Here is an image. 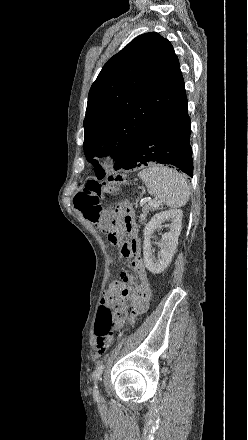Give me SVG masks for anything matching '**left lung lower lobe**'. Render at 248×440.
I'll return each instance as SVG.
<instances>
[{"mask_svg":"<svg viewBox=\"0 0 248 440\" xmlns=\"http://www.w3.org/2000/svg\"><path fill=\"white\" fill-rule=\"evenodd\" d=\"M191 121L186 93L134 142L123 163L117 168L134 169L148 162L169 164L193 176L190 146Z\"/></svg>","mask_w":248,"mask_h":440,"instance_id":"0a47b994","label":"left lung lower lobe"}]
</instances>
